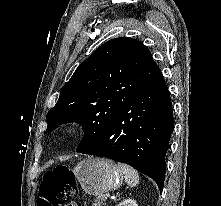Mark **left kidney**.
<instances>
[{
  "mask_svg": "<svg viewBox=\"0 0 221 206\" xmlns=\"http://www.w3.org/2000/svg\"><path fill=\"white\" fill-rule=\"evenodd\" d=\"M117 206H138V204L133 199H125L124 201L119 203Z\"/></svg>",
  "mask_w": 221,
  "mask_h": 206,
  "instance_id": "5707ae66",
  "label": "left kidney"
}]
</instances>
